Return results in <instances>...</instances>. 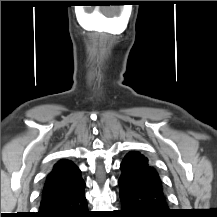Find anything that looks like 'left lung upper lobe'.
Instances as JSON below:
<instances>
[{"instance_id": "5c2ea615", "label": "left lung upper lobe", "mask_w": 217, "mask_h": 217, "mask_svg": "<svg viewBox=\"0 0 217 217\" xmlns=\"http://www.w3.org/2000/svg\"><path fill=\"white\" fill-rule=\"evenodd\" d=\"M122 165L127 167L128 174L135 181L163 188L158 172L149 164V160L139 152H129L124 157Z\"/></svg>"}]
</instances>
